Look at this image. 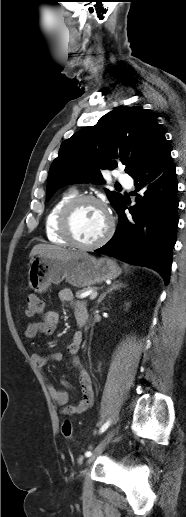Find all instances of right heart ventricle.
Returning a JSON list of instances; mask_svg holds the SVG:
<instances>
[{"mask_svg": "<svg viewBox=\"0 0 186 517\" xmlns=\"http://www.w3.org/2000/svg\"><path fill=\"white\" fill-rule=\"evenodd\" d=\"M76 196L77 192L75 190H67L49 208L45 216L44 228L46 237L50 242L62 245L69 243L60 233L59 218L66 204Z\"/></svg>", "mask_w": 186, "mask_h": 517, "instance_id": "e07e8e85", "label": "right heart ventricle"}]
</instances>
